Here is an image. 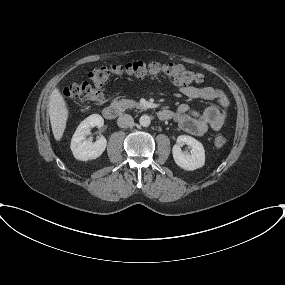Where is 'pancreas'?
I'll list each match as a JSON object with an SVG mask.
<instances>
[{
  "mask_svg": "<svg viewBox=\"0 0 285 285\" xmlns=\"http://www.w3.org/2000/svg\"><path fill=\"white\" fill-rule=\"evenodd\" d=\"M116 106L121 109V110H125L127 108H133V107H137V108H143L139 103H137L136 101L133 100H129V99H121L119 101H116Z\"/></svg>",
  "mask_w": 285,
  "mask_h": 285,
  "instance_id": "1",
  "label": "pancreas"
}]
</instances>
